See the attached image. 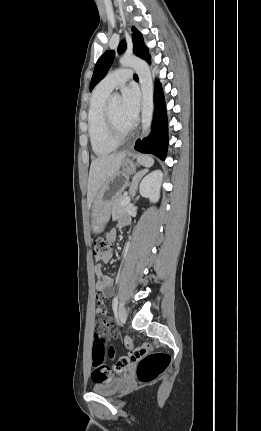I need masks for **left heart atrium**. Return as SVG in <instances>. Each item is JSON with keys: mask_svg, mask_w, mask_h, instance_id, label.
Segmentation results:
<instances>
[{"mask_svg": "<svg viewBox=\"0 0 261 431\" xmlns=\"http://www.w3.org/2000/svg\"><path fill=\"white\" fill-rule=\"evenodd\" d=\"M139 111V98L136 90L126 87L122 90L120 112L125 124L132 128L137 120Z\"/></svg>", "mask_w": 261, "mask_h": 431, "instance_id": "39dd6f15", "label": "left heart atrium"}]
</instances>
